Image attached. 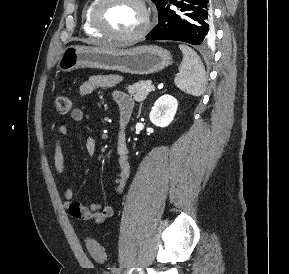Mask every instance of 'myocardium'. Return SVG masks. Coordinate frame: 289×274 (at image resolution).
Instances as JSON below:
<instances>
[{
  "label": "myocardium",
  "instance_id": "myocardium-1",
  "mask_svg": "<svg viewBox=\"0 0 289 274\" xmlns=\"http://www.w3.org/2000/svg\"><path fill=\"white\" fill-rule=\"evenodd\" d=\"M113 1L114 0H96L91 11V22L94 28L105 37L113 39V40H117V41L129 42V41H136V40L143 38L148 33L150 26H151V15H150V11L145 1L144 0H132L133 2L137 3L143 10L144 23L138 31L131 33V34L115 33L104 25L101 19V13L103 9L105 8V6Z\"/></svg>",
  "mask_w": 289,
  "mask_h": 274
}]
</instances>
